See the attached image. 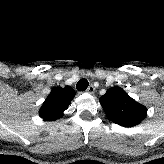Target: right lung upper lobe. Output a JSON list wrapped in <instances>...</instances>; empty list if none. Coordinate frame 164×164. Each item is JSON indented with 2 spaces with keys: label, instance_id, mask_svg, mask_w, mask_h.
<instances>
[{
  "label": "right lung upper lobe",
  "instance_id": "right-lung-upper-lobe-1",
  "mask_svg": "<svg viewBox=\"0 0 164 164\" xmlns=\"http://www.w3.org/2000/svg\"><path fill=\"white\" fill-rule=\"evenodd\" d=\"M74 96L75 91L69 86L55 87L43 103L39 111L40 117L46 121L61 118Z\"/></svg>",
  "mask_w": 164,
  "mask_h": 164
}]
</instances>
